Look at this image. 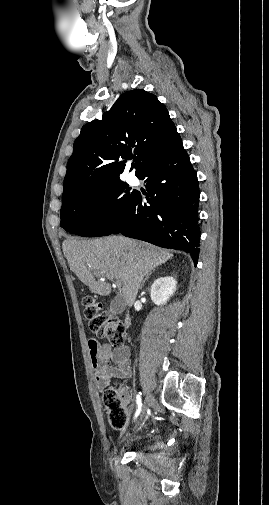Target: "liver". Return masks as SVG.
<instances>
[{"label":"liver","mask_w":269,"mask_h":505,"mask_svg":"<svg viewBox=\"0 0 269 505\" xmlns=\"http://www.w3.org/2000/svg\"><path fill=\"white\" fill-rule=\"evenodd\" d=\"M62 248L70 269L92 293L101 296L111 293V285L97 281L96 274L115 280L129 307L136 300L143 277L173 257L165 249L123 236L93 240L69 238L63 242Z\"/></svg>","instance_id":"6515ba94"}]
</instances>
